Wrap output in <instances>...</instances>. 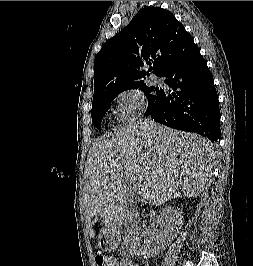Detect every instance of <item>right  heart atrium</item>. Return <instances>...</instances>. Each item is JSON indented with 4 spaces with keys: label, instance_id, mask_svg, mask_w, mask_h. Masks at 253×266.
I'll return each instance as SVG.
<instances>
[{
    "label": "right heart atrium",
    "instance_id": "1",
    "mask_svg": "<svg viewBox=\"0 0 253 266\" xmlns=\"http://www.w3.org/2000/svg\"><path fill=\"white\" fill-rule=\"evenodd\" d=\"M118 116L122 121H129L143 114L146 99L143 92L135 87L122 90L116 98Z\"/></svg>",
    "mask_w": 253,
    "mask_h": 266
}]
</instances>
